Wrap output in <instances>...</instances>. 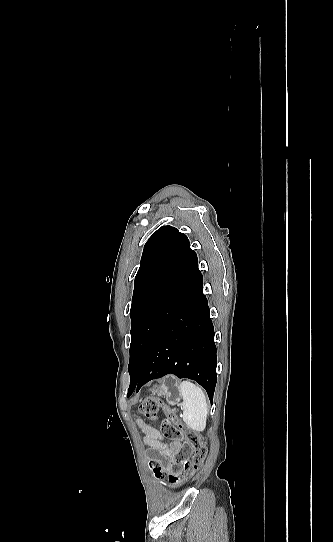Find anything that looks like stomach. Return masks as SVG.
Listing matches in <instances>:
<instances>
[{
    "label": "stomach",
    "mask_w": 333,
    "mask_h": 542,
    "mask_svg": "<svg viewBox=\"0 0 333 542\" xmlns=\"http://www.w3.org/2000/svg\"><path fill=\"white\" fill-rule=\"evenodd\" d=\"M151 394H157L165 398L169 406H177L182 396L180 394V380H177L175 376H165L160 386H153L150 390Z\"/></svg>",
    "instance_id": "0dacf381"
}]
</instances>
